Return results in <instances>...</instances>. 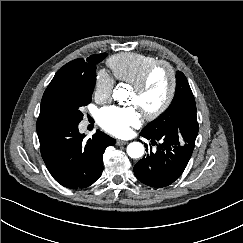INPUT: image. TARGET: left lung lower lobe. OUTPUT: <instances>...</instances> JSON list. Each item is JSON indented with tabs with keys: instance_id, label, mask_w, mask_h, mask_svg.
Masks as SVG:
<instances>
[{
	"instance_id": "obj_1",
	"label": "left lung lower lobe",
	"mask_w": 243,
	"mask_h": 243,
	"mask_svg": "<svg viewBox=\"0 0 243 243\" xmlns=\"http://www.w3.org/2000/svg\"><path fill=\"white\" fill-rule=\"evenodd\" d=\"M143 137L151 140L152 147L145 144L147 155L135 166L136 178L145 185L163 188L172 184L183 173L192 155L195 140L188 131L180 137L177 132L166 131L150 135L141 131Z\"/></svg>"
}]
</instances>
